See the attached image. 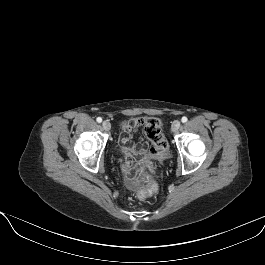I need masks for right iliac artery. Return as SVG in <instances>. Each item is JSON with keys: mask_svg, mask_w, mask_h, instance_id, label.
<instances>
[{"mask_svg": "<svg viewBox=\"0 0 265 265\" xmlns=\"http://www.w3.org/2000/svg\"><path fill=\"white\" fill-rule=\"evenodd\" d=\"M96 121H97L98 123H101V122H102V118H101V117H98V118L96 119Z\"/></svg>", "mask_w": 265, "mask_h": 265, "instance_id": "right-iliac-artery-1", "label": "right iliac artery"}]
</instances>
